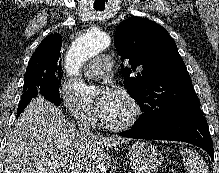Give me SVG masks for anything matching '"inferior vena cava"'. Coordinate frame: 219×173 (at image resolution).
Masks as SVG:
<instances>
[{"label": "inferior vena cava", "mask_w": 219, "mask_h": 173, "mask_svg": "<svg viewBox=\"0 0 219 173\" xmlns=\"http://www.w3.org/2000/svg\"><path fill=\"white\" fill-rule=\"evenodd\" d=\"M78 126H79V133L82 137H84V138H92L93 137V133L91 131V127H90L89 123H87L86 121H84L82 119H79Z\"/></svg>", "instance_id": "obj_1"}]
</instances>
